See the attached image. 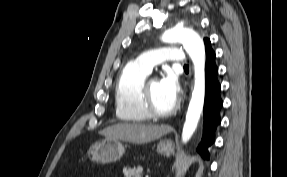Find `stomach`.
<instances>
[{
	"instance_id": "obj_1",
	"label": "stomach",
	"mask_w": 287,
	"mask_h": 177,
	"mask_svg": "<svg viewBox=\"0 0 287 177\" xmlns=\"http://www.w3.org/2000/svg\"><path fill=\"white\" fill-rule=\"evenodd\" d=\"M173 143L169 139L160 140L157 144V151L170 156L173 153ZM125 152L123 144L116 139H108L94 143L88 151L91 161L96 163H111L119 160Z\"/></svg>"
}]
</instances>
